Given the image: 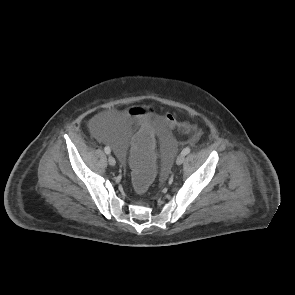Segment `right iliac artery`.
I'll return each mask as SVG.
<instances>
[{"label": "right iliac artery", "instance_id": "right-iliac-artery-1", "mask_svg": "<svg viewBox=\"0 0 295 295\" xmlns=\"http://www.w3.org/2000/svg\"><path fill=\"white\" fill-rule=\"evenodd\" d=\"M104 151H105L106 154H110L111 153L110 147H108V146H106L104 148Z\"/></svg>", "mask_w": 295, "mask_h": 295}]
</instances>
